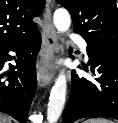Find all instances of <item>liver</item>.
Instances as JSON below:
<instances>
[{
    "label": "liver",
    "instance_id": "1",
    "mask_svg": "<svg viewBox=\"0 0 118 123\" xmlns=\"http://www.w3.org/2000/svg\"><path fill=\"white\" fill-rule=\"evenodd\" d=\"M0 123H11V120L7 116L0 114Z\"/></svg>",
    "mask_w": 118,
    "mask_h": 123
}]
</instances>
